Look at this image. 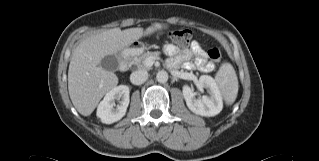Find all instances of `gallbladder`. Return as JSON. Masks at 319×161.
Masks as SVG:
<instances>
[{"mask_svg": "<svg viewBox=\"0 0 319 161\" xmlns=\"http://www.w3.org/2000/svg\"><path fill=\"white\" fill-rule=\"evenodd\" d=\"M100 66L106 71L114 72L119 67V59L116 55L105 56L101 60Z\"/></svg>", "mask_w": 319, "mask_h": 161, "instance_id": "gallbladder-1", "label": "gallbladder"}]
</instances>
